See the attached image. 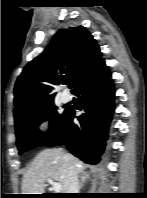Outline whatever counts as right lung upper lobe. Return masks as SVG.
Instances as JSON below:
<instances>
[{
  "label": "right lung upper lobe",
  "mask_w": 147,
  "mask_h": 198,
  "mask_svg": "<svg viewBox=\"0 0 147 198\" xmlns=\"http://www.w3.org/2000/svg\"><path fill=\"white\" fill-rule=\"evenodd\" d=\"M103 61L96 41L83 26L59 30L46 50L25 66L16 81L15 123L53 103L54 86L60 84L62 74L69 78L73 92Z\"/></svg>",
  "instance_id": "obj_1"
}]
</instances>
